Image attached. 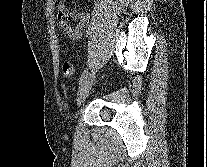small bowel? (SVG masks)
<instances>
[{
	"label": "small bowel",
	"mask_w": 207,
	"mask_h": 167,
	"mask_svg": "<svg viewBox=\"0 0 207 167\" xmlns=\"http://www.w3.org/2000/svg\"><path fill=\"white\" fill-rule=\"evenodd\" d=\"M71 21L75 22L74 24ZM89 23V14L86 10L69 12L64 1L58 4V26L65 36L72 40H78Z\"/></svg>",
	"instance_id": "1"
}]
</instances>
